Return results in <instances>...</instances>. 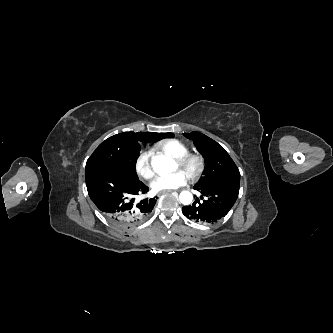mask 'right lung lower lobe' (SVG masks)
Wrapping results in <instances>:
<instances>
[{
	"label": "right lung lower lobe",
	"instance_id": "98d812e1",
	"mask_svg": "<svg viewBox=\"0 0 333 333\" xmlns=\"http://www.w3.org/2000/svg\"><path fill=\"white\" fill-rule=\"evenodd\" d=\"M88 194L113 224L129 228L145 219L153 210L158 199L145 198L135 201L137 195L145 194L149 188L139 179L104 168L85 171Z\"/></svg>",
	"mask_w": 333,
	"mask_h": 333
}]
</instances>
